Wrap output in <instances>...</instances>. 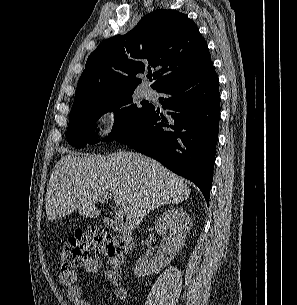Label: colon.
Here are the masks:
<instances>
[{
	"label": "colon",
	"mask_w": 297,
	"mask_h": 305,
	"mask_svg": "<svg viewBox=\"0 0 297 305\" xmlns=\"http://www.w3.org/2000/svg\"><path fill=\"white\" fill-rule=\"evenodd\" d=\"M92 252L102 253L107 264L120 268L125 261V247L122 240L108 230L88 228L76 232L60 248L58 267L62 271L79 268Z\"/></svg>",
	"instance_id": "5ec220e1"
}]
</instances>
